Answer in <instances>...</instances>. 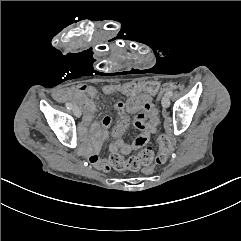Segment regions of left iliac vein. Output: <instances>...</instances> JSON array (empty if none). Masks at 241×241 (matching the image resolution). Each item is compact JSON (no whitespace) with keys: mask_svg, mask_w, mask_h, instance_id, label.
Masks as SVG:
<instances>
[{"mask_svg":"<svg viewBox=\"0 0 241 241\" xmlns=\"http://www.w3.org/2000/svg\"><path fill=\"white\" fill-rule=\"evenodd\" d=\"M162 106L164 108H168L170 106V100H169V97L168 96H164L162 98Z\"/></svg>","mask_w":241,"mask_h":241,"instance_id":"left-iliac-vein-1","label":"left iliac vein"}]
</instances>
